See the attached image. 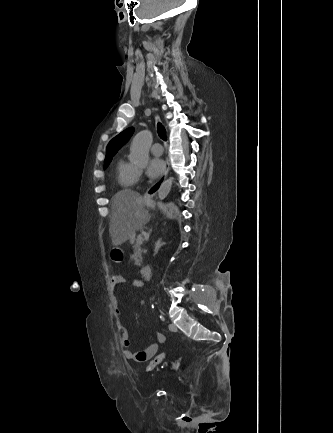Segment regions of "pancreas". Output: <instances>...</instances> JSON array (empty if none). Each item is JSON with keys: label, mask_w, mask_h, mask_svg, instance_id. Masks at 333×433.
Segmentation results:
<instances>
[{"label": "pancreas", "mask_w": 333, "mask_h": 433, "mask_svg": "<svg viewBox=\"0 0 333 433\" xmlns=\"http://www.w3.org/2000/svg\"><path fill=\"white\" fill-rule=\"evenodd\" d=\"M137 241H138V237L130 239V242L133 245V249H134V254L132 255V258L135 260V264L140 266L142 262V249H141V244L138 243Z\"/></svg>", "instance_id": "obj_1"}]
</instances>
